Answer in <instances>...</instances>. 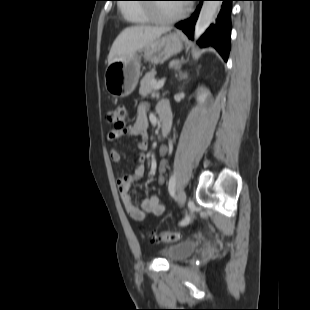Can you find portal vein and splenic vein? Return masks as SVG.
I'll list each match as a JSON object with an SVG mask.
<instances>
[{
    "instance_id": "obj_1",
    "label": "portal vein and splenic vein",
    "mask_w": 310,
    "mask_h": 310,
    "mask_svg": "<svg viewBox=\"0 0 310 310\" xmlns=\"http://www.w3.org/2000/svg\"><path fill=\"white\" fill-rule=\"evenodd\" d=\"M164 83H165V79H161L160 81H158V83H156L155 89L156 90L161 89L164 86Z\"/></svg>"
}]
</instances>
